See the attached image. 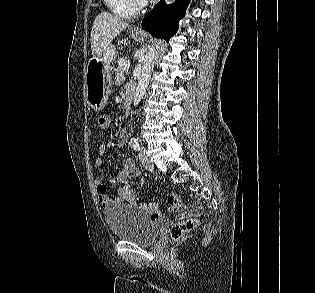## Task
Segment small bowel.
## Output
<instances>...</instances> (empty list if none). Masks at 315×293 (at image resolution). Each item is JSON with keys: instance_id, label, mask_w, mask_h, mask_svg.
Segmentation results:
<instances>
[{"instance_id": "c3829d8e", "label": "small bowel", "mask_w": 315, "mask_h": 293, "mask_svg": "<svg viewBox=\"0 0 315 293\" xmlns=\"http://www.w3.org/2000/svg\"><path fill=\"white\" fill-rule=\"evenodd\" d=\"M132 86H128L127 92L132 91ZM111 120L109 118V124L107 129L109 128ZM126 142V131L122 130L117 139V146L119 148H123ZM107 146L102 143L99 146L98 152L99 157L95 161V166L100 167L103 163V156L106 153ZM139 176V169L136 167L134 161L130 158H127L123 161L121 169L115 174L112 184L119 183L121 186L117 190V194L114 197H111L108 194V186L103 183V181L99 178L94 180V187L96 190V194L99 202L104 207H109L114 204H118L124 201L127 202H135L133 189H134V180ZM149 211L151 212L149 215L150 220L157 221H165L166 219L161 215L159 211H157L155 205L148 206ZM170 215H179V208H170Z\"/></svg>"}]
</instances>
